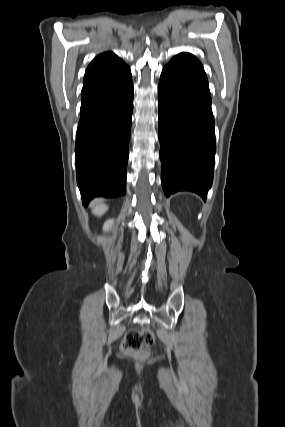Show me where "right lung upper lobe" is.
<instances>
[{"instance_id": "cb5924a9", "label": "right lung upper lobe", "mask_w": 285, "mask_h": 427, "mask_svg": "<svg viewBox=\"0 0 285 427\" xmlns=\"http://www.w3.org/2000/svg\"><path fill=\"white\" fill-rule=\"evenodd\" d=\"M127 65L112 52H105L95 57L88 66L83 86L101 81L122 71Z\"/></svg>"}]
</instances>
